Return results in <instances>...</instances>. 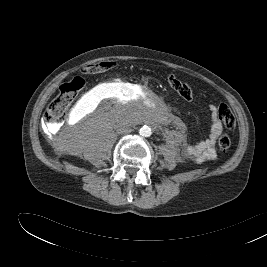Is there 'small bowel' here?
Wrapping results in <instances>:
<instances>
[{
	"instance_id": "c3829d8e",
	"label": "small bowel",
	"mask_w": 267,
	"mask_h": 267,
	"mask_svg": "<svg viewBox=\"0 0 267 267\" xmlns=\"http://www.w3.org/2000/svg\"><path fill=\"white\" fill-rule=\"evenodd\" d=\"M209 111L211 115L209 137L206 140L195 144L184 143L182 147L183 155L193 159L197 163L216 158L215 144L224 129V124L218 113V106L214 104L209 105Z\"/></svg>"
}]
</instances>
